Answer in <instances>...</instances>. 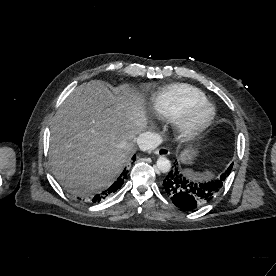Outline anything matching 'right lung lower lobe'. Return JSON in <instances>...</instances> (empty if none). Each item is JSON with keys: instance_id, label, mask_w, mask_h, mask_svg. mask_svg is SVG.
<instances>
[{"instance_id": "1", "label": "right lung lower lobe", "mask_w": 276, "mask_h": 276, "mask_svg": "<svg viewBox=\"0 0 276 276\" xmlns=\"http://www.w3.org/2000/svg\"><path fill=\"white\" fill-rule=\"evenodd\" d=\"M135 156H133L134 159ZM126 169L125 172L123 171V173L117 178V180L105 191H103L100 194H97L94 196L93 198V202H99L103 199H105L106 197L113 195L115 192L118 191V189L123 185L124 183V179H125V174H126Z\"/></svg>"}]
</instances>
